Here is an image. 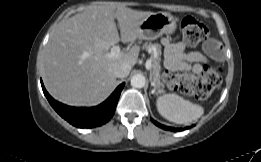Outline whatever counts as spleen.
Here are the masks:
<instances>
[{
	"instance_id": "3e777b00",
	"label": "spleen",
	"mask_w": 261,
	"mask_h": 162,
	"mask_svg": "<svg viewBox=\"0 0 261 162\" xmlns=\"http://www.w3.org/2000/svg\"><path fill=\"white\" fill-rule=\"evenodd\" d=\"M159 114L176 124H188L199 119L204 109L202 106L183 99L176 94H164L156 100Z\"/></svg>"
}]
</instances>
